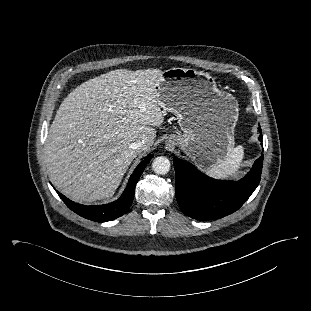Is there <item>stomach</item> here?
<instances>
[{
  "mask_svg": "<svg viewBox=\"0 0 311 311\" xmlns=\"http://www.w3.org/2000/svg\"><path fill=\"white\" fill-rule=\"evenodd\" d=\"M156 89L160 107L178 116L184 133L170 136L167 142L203 170L223 161L234 147L237 100L220 91L208 73L190 68L163 71Z\"/></svg>",
  "mask_w": 311,
  "mask_h": 311,
  "instance_id": "0dacf381",
  "label": "stomach"
}]
</instances>
